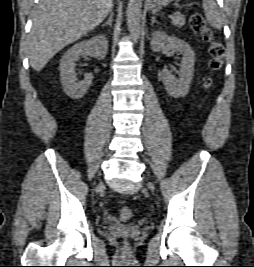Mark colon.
Returning a JSON list of instances; mask_svg holds the SVG:
<instances>
[{"mask_svg": "<svg viewBox=\"0 0 254 267\" xmlns=\"http://www.w3.org/2000/svg\"><path fill=\"white\" fill-rule=\"evenodd\" d=\"M190 25L193 31L209 44V68L211 73L203 79V86L208 89L212 85L214 74L221 70L223 66L225 48L222 43L215 39L206 19L200 13H195L191 16ZM131 215V209L128 207H122L119 210V218L122 221L130 219Z\"/></svg>", "mask_w": 254, "mask_h": 267, "instance_id": "5ec220e1", "label": "colon"}]
</instances>
